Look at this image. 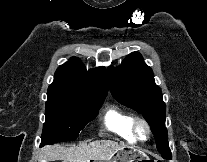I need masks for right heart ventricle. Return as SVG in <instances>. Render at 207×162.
I'll return each instance as SVG.
<instances>
[{
  "mask_svg": "<svg viewBox=\"0 0 207 162\" xmlns=\"http://www.w3.org/2000/svg\"><path fill=\"white\" fill-rule=\"evenodd\" d=\"M134 117L117 106L108 107L102 115V126L122 139L134 142L131 125Z\"/></svg>",
  "mask_w": 207,
  "mask_h": 162,
  "instance_id": "obj_1",
  "label": "right heart ventricle"
}]
</instances>
